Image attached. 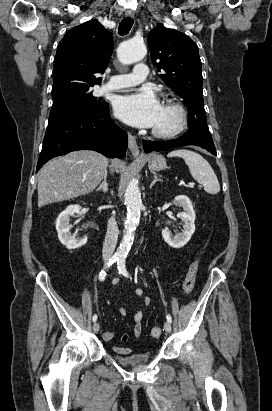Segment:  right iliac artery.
Wrapping results in <instances>:
<instances>
[{
    "label": "right iliac artery",
    "mask_w": 272,
    "mask_h": 411,
    "mask_svg": "<svg viewBox=\"0 0 272 411\" xmlns=\"http://www.w3.org/2000/svg\"><path fill=\"white\" fill-rule=\"evenodd\" d=\"M119 257L117 256H112L111 258L108 259L107 263L105 264L104 268L100 271L99 273V280L100 281H104L105 277H106V271L105 269L107 267H109L110 265H112L113 263H115L116 261H118ZM93 322L97 321V315L95 314L92 318Z\"/></svg>",
    "instance_id": "1"
}]
</instances>
